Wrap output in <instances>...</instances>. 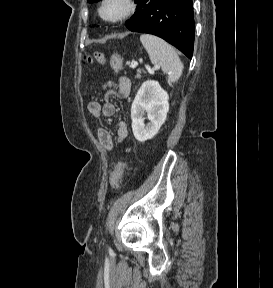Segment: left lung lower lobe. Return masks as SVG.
Returning <instances> with one entry per match:
<instances>
[{
	"label": "left lung lower lobe",
	"mask_w": 273,
	"mask_h": 288,
	"mask_svg": "<svg viewBox=\"0 0 273 288\" xmlns=\"http://www.w3.org/2000/svg\"><path fill=\"white\" fill-rule=\"evenodd\" d=\"M136 3L137 9L125 26L133 32L159 36L191 59L194 46L192 0H136Z\"/></svg>",
	"instance_id": "1"
}]
</instances>
